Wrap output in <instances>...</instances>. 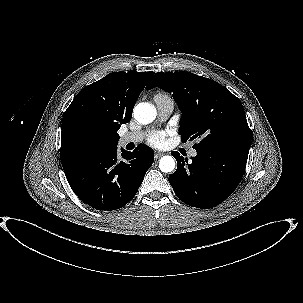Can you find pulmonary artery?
Instances as JSON below:
<instances>
[{
  "mask_svg": "<svg viewBox=\"0 0 303 303\" xmlns=\"http://www.w3.org/2000/svg\"><path fill=\"white\" fill-rule=\"evenodd\" d=\"M154 99L157 105L159 120L161 121L166 120L173 112L174 102L171 99H160V98H154ZM143 137H144L143 132L125 133L120 137V144L127 145L129 143H138L143 139ZM189 155L191 157H195L197 155V151L192 148L189 150Z\"/></svg>",
  "mask_w": 303,
  "mask_h": 303,
  "instance_id": "pulmonary-artery-1",
  "label": "pulmonary artery"
}]
</instances>
